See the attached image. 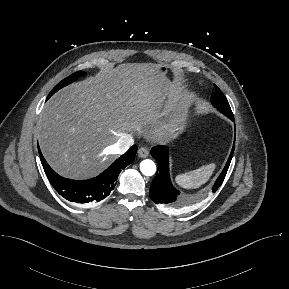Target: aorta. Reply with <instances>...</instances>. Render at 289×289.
Instances as JSON below:
<instances>
[{"label": "aorta", "mask_w": 289, "mask_h": 289, "mask_svg": "<svg viewBox=\"0 0 289 289\" xmlns=\"http://www.w3.org/2000/svg\"><path fill=\"white\" fill-rule=\"evenodd\" d=\"M140 170L145 176H152L156 172V165L150 159H145L140 164Z\"/></svg>", "instance_id": "obj_1"}]
</instances>
